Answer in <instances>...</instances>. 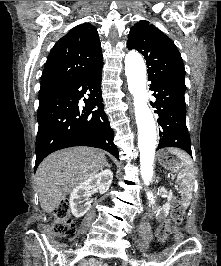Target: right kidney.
<instances>
[{"mask_svg":"<svg viewBox=\"0 0 221 266\" xmlns=\"http://www.w3.org/2000/svg\"><path fill=\"white\" fill-rule=\"evenodd\" d=\"M112 179L113 173L104 170L76 186L70 193L69 204L72 214L77 218L82 217L91 207L90 190L96 188L100 193H104L109 189Z\"/></svg>","mask_w":221,"mask_h":266,"instance_id":"obj_1","label":"right kidney"}]
</instances>
